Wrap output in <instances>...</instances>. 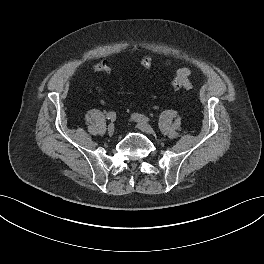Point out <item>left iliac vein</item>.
Here are the masks:
<instances>
[{
	"mask_svg": "<svg viewBox=\"0 0 264 264\" xmlns=\"http://www.w3.org/2000/svg\"><path fill=\"white\" fill-rule=\"evenodd\" d=\"M137 127L148 134H152L154 132L153 128L146 122L137 121Z\"/></svg>",
	"mask_w": 264,
	"mask_h": 264,
	"instance_id": "1",
	"label": "left iliac vein"
}]
</instances>
